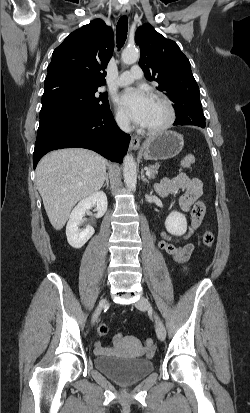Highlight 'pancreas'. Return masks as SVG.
I'll return each mask as SVG.
<instances>
[{
	"label": "pancreas",
	"instance_id": "obj_1",
	"mask_svg": "<svg viewBox=\"0 0 250 413\" xmlns=\"http://www.w3.org/2000/svg\"><path fill=\"white\" fill-rule=\"evenodd\" d=\"M158 168L159 165H153V166H149L148 170L151 172V174L149 175L150 178L154 179L156 174L158 173Z\"/></svg>",
	"mask_w": 250,
	"mask_h": 413
}]
</instances>
